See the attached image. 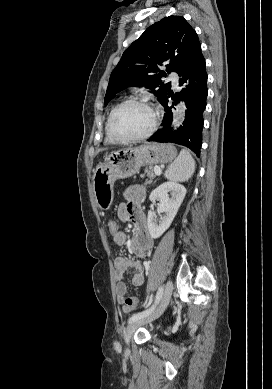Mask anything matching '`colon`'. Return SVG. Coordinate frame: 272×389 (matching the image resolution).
Wrapping results in <instances>:
<instances>
[{
  "label": "colon",
  "mask_w": 272,
  "mask_h": 389,
  "mask_svg": "<svg viewBox=\"0 0 272 389\" xmlns=\"http://www.w3.org/2000/svg\"><path fill=\"white\" fill-rule=\"evenodd\" d=\"M108 230L111 235H115L119 230V222L115 219H111L108 222ZM125 305L129 307L131 310H135L139 307V301L135 297H127L125 299Z\"/></svg>",
  "instance_id": "5ec220e1"
}]
</instances>
